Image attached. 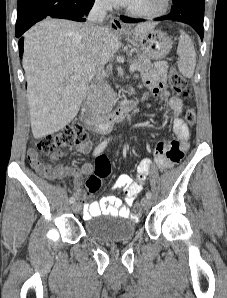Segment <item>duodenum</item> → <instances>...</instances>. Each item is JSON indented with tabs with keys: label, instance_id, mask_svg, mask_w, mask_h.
I'll use <instances>...</instances> for the list:
<instances>
[{
	"label": "duodenum",
	"instance_id": "duodenum-1",
	"mask_svg": "<svg viewBox=\"0 0 227 298\" xmlns=\"http://www.w3.org/2000/svg\"><path fill=\"white\" fill-rule=\"evenodd\" d=\"M138 105V100L124 102L117 106L113 111L105 115H98L95 112V94L89 93L85 99L86 112L84 115L85 125L92 131L106 134L113 126L124 120L130 111Z\"/></svg>",
	"mask_w": 227,
	"mask_h": 298
}]
</instances>
